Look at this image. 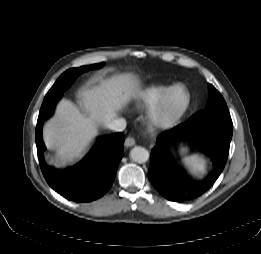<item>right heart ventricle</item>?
<instances>
[{"label":"right heart ventricle","mask_w":261,"mask_h":254,"mask_svg":"<svg viewBox=\"0 0 261 254\" xmlns=\"http://www.w3.org/2000/svg\"><path fill=\"white\" fill-rule=\"evenodd\" d=\"M168 88L165 84H152L135 94V102L139 108H150L161 98Z\"/></svg>","instance_id":"obj_1"}]
</instances>
